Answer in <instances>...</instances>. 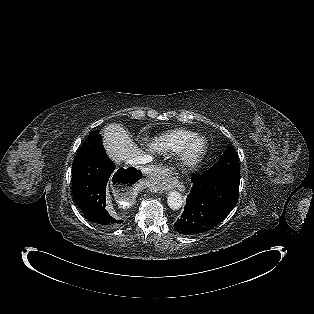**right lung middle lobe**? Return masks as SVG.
<instances>
[{"instance_id":"1","label":"right lung middle lobe","mask_w":314,"mask_h":314,"mask_svg":"<svg viewBox=\"0 0 314 314\" xmlns=\"http://www.w3.org/2000/svg\"><path fill=\"white\" fill-rule=\"evenodd\" d=\"M100 144H102V142H101V135L99 134V131L98 130L92 131L88 135V137L86 138V140L84 141L80 149L78 150L76 157L85 155L86 153L92 151L95 147H97Z\"/></svg>"}]
</instances>
